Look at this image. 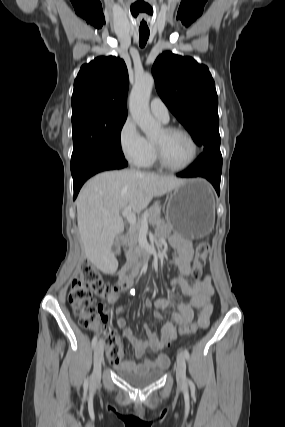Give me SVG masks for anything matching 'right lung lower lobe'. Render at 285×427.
Listing matches in <instances>:
<instances>
[{"label":"right lung lower lobe","instance_id":"right-lung-lower-lobe-1","mask_svg":"<svg viewBox=\"0 0 285 427\" xmlns=\"http://www.w3.org/2000/svg\"><path fill=\"white\" fill-rule=\"evenodd\" d=\"M125 158H117L103 153H94L80 162L71 170L73 177L74 198H76L83 183L96 173L121 169L127 166Z\"/></svg>","mask_w":285,"mask_h":427}]
</instances>
